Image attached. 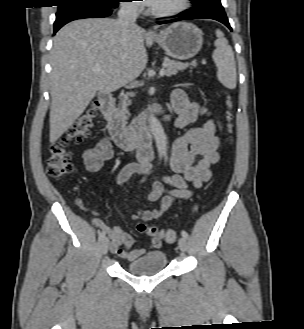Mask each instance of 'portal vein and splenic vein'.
<instances>
[{"instance_id":"obj_1","label":"portal vein and splenic vein","mask_w":304,"mask_h":329,"mask_svg":"<svg viewBox=\"0 0 304 329\" xmlns=\"http://www.w3.org/2000/svg\"><path fill=\"white\" fill-rule=\"evenodd\" d=\"M93 70L95 71V72H98V71H100L101 70V66L99 65V64H95L94 66H93ZM160 76H164L165 74H166V70L164 69V68H162L161 70H160Z\"/></svg>"}]
</instances>
